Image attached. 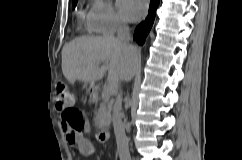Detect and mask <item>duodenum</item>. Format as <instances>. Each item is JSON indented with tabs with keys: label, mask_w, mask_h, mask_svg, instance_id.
I'll return each mask as SVG.
<instances>
[{
	"label": "duodenum",
	"mask_w": 242,
	"mask_h": 160,
	"mask_svg": "<svg viewBox=\"0 0 242 160\" xmlns=\"http://www.w3.org/2000/svg\"><path fill=\"white\" fill-rule=\"evenodd\" d=\"M91 95L93 97H96L97 91L95 89H93L91 91ZM109 138H110V133L107 129L103 128L97 132V139L99 142L106 143V142H108Z\"/></svg>",
	"instance_id": "1"
}]
</instances>
